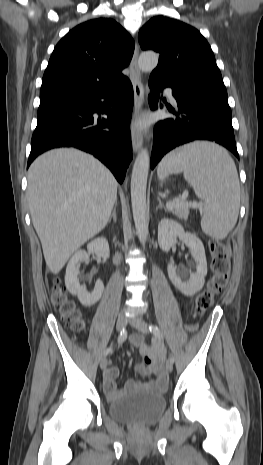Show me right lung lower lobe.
I'll return each mask as SVG.
<instances>
[{
  "label": "right lung lower lobe",
  "instance_id": "obj_1",
  "mask_svg": "<svg viewBox=\"0 0 263 465\" xmlns=\"http://www.w3.org/2000/svg\"><path fill=\"white\" fill-rule=\"evenodd\" d=\"M133 102V87L125 78L105 90L85 91L40 105L27 166L49 149L75 147L101 160L122 183L132 159L129 125ZM94 113H104L107 119H97Z\"/></svg>",
  "mask_w": 263,
  "mask_h": 465
}]
</instances>
